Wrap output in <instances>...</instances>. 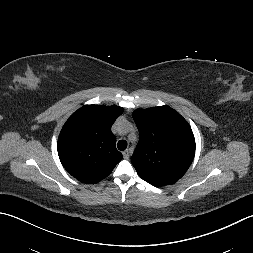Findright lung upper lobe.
I'll return each mask as SVG.
<instances>
[{
	"mask_svg": "<svg viewBox=\"0 0 253 253\" xmlns=\"http://www.w3.org/2000/svg\"><path fill=\"white\" fill-rule=\"evenodd\" d=\"M123 111L118 106L85 105L69 117L57 143L68 173L83 183H97L112 172L123 156L111 126Z\"/></svg>",
	"mask_w": 253,
	"mask_h": 253,
	"instance_id": "cb5924a9",
	"label": "right lung upper lobe"
}]
</instances>
